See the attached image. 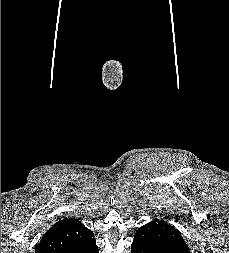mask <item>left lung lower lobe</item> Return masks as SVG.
Masks as SVG:
<instances>
[{
  "instance_id": "1",
  "label": "left lung lower lobe",
  "mask_w": 229,
  "mask_h": 253,
  "mask_svg": "<svg viewBox=\"0 0 229 253\" xmlns=\"http://www.w3.org/2000/svg\"><path fill=\"white\" fill-rule=\"evenodd\" d=\"M131 253H189V250L183 248L154 247L134 240L131 244Z\"/></svg>"
}]
</instances>
